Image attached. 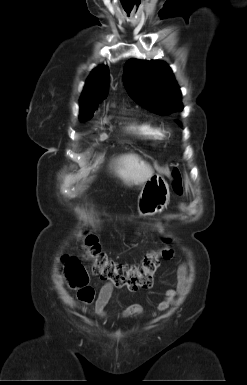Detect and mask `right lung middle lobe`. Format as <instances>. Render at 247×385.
Listing matches in <instances>:
<instances>
[{
  "mask_svg": "<svg viewBox=\"0 0 247 385\" xmlns=\"http://www.w3.org/2000/svg\"><path fill=\"white\" fill-rule=\"evenodd\" d=\"M93 116V114H90V115H87V116H82L81 119L82 120H86V119H89Z\"/></svg>",
  "mask_w": 247,
  "mask_h": 385,
  "instance_id": "right-lung-middle-lobe-1",
  "label": "right lung middle lobe"
}]
</instances>
